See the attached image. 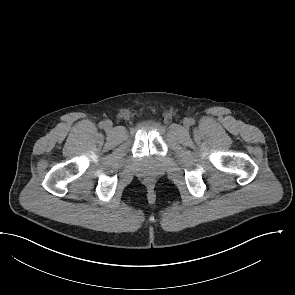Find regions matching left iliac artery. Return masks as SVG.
Returning a JSON list of instances; mask_svg holds the SVG:
<instances>
[{
	"mask_svg": "<svg viewBox=\"0 0 295 295\" xmlns=\"http://www.w3.org/2000/svg\"><path fill=\"white\" fill-rule=\"evenodd\" d=\"M190 124L193 125L195 123L194 119L190 118Z\"/></svg>",
	"mask_w": 295,
	"mask_h": 295,
	"instance_id": "44dca946",
	"label": "left iliac artery"
}]
</instances>
